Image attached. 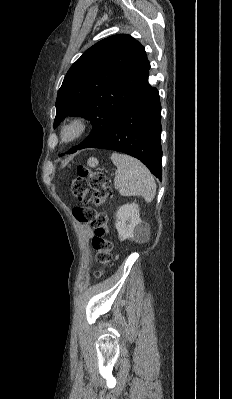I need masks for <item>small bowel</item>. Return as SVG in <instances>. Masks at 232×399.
Returning <instances> with one entry per match:
<instances>
[{"instance_id":"obj_1","label":"small bowel","mask_w":232,"mask_h":399,"mask_svg":"<svg viewBox=\"0 0 232 399\" xmlns=\"http://www.w3.org/2000/svg\"><path fill=\"white\" fill-rule=\"evenodd\" d=\"M82 233L85 240H88L92 236L91 230L86 226L82 227Z\"/></svg>"}]
</instances>
